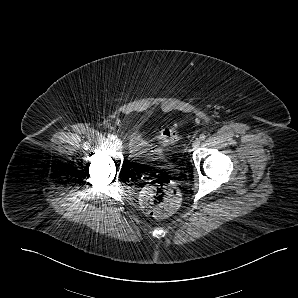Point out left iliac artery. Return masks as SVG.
I'll use <instances>...</instances> for the list:
<instances>
[{
    "mask_svg": "<svg viewBox=\"0 0 298 298\" xmlns=\"http://www.w3.org/2000/svg\"><path fill=\"white\" fill-rule=\"evenodd\" d=\"M199 138H200L201 140H205L206 135H205V134H201Z\"/></svg>",
    "mask_w": 298,
    "mask_h": 298,
    "instance_id": "44dca946",
    "label": "left iliac artery"
}]
</instances>
